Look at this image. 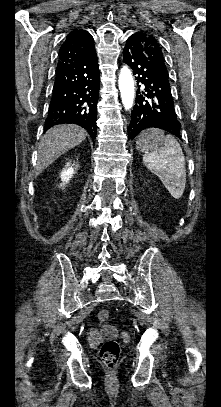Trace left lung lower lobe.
Masks as SVG:
<instances>
[{"instance_id": "1", "label": "left lung lower lobe", "mask_w": 221, "mask_h": 407, "mask_svg": "<svg viewBox=\"0 0 221 407\" xmlns=\"http://www.w3.org/2000/svg\"><path fill=\"white\" fill-rule=\"evenodd\" d=\"M124 62L137 75V96L128 127L129 139L147 128H159L181 139V124L177 119L168 72L149 61L135 35H131L123 50Z\"/></svg>"}]
</instances>
